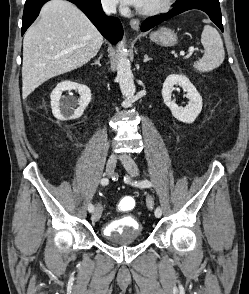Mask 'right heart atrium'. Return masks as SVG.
<instances>
[{
  "instance_id": "1",
  "label": "right heart atrium",
  "mask_w": 249,
  "mask_h": 294,
  "mask_svg": "<svg viewBox=\"0 0 249 294\" xmlns=\"http://www.w3.org/2000/svg\"><path fill=\"white\" fill-rule=\"evenodd\" d=\"M101 3L106 10L113 11L117 7L118 0H101Z\"/></svg>"
}]
</instances>
